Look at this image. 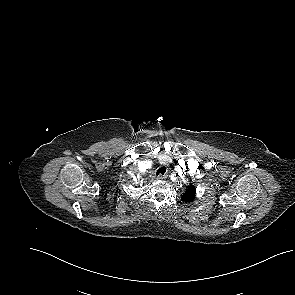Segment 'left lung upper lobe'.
Returning <instances> with one entry per match:
<instances>
[{"label": "left lung upper lobe", "instance_id": "1", "mask_svg": "<svg viewBox=\"0 0 295 295\" xmlns=\"http://www.w3.org/2000/svg\"><path fill=\"white\" fill-rule=\"evenodd\" d=\"M195 196H196V189L192 184H190L187 187L185 193L183 194L182 200L185 202H191L195 199Z\"/></svg>", "mask_w": 295, "mask_h": 295}]
</instances>
